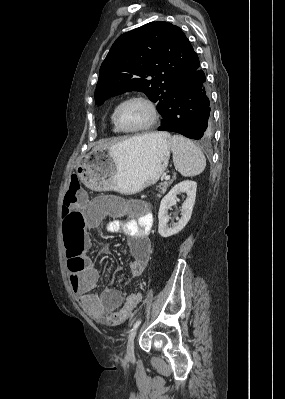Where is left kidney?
<instances>
[{
  "mask_svg": "<svg viewBox=\"0 0 285 399\" xmlns=\"http://www.w3.org/2000/svg\"><path fill=\"white\" fill-rule=\"evenodd\" d=\"M197 184L194 181H182L175 185L169 193L161 200L160 208L158 212V232L164 237H170L179 233L189 222L195 203ZM186 193L187 198L181 207V218L177 223L173 224L172 227H168L170 216L168 210L171 206L176 205V196L180 193Z\"/></svg>",
  "mask_w": 285,
  "mask_h": 399,
  "instance_id": "left-kidney-1",
  "label": "left kidney"
}]
</instances>
